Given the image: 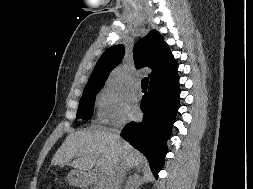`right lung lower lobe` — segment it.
<instances>
[{
    "label": "right lung lower lobe",
    "mask_w": 253,
    "mask_h": 189,
    "mask_svg": "<svg viewBox=\"0 0 253 189\" xmlns=\"http://www.w3.org/2000/svg\"><path fill=\"white\" fill-rule=\"evenodd\" d=\"M179 94L177 72L151 82L140 105L144 112L142 122H130L121 132L123 138L146 156L155 177L167 152L166 141L178 109Z\"/></svg>",
    "instance_id": "98d812e1"
}]
</instances>
